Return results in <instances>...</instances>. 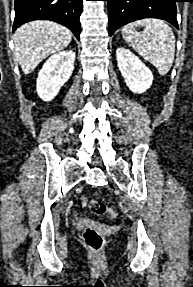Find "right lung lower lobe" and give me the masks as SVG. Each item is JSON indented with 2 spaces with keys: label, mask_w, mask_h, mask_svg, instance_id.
<instances>
[{
  "label": "right lung lower lobe",
  "mask_w": 193,
  "mask_h": 287,
  "mask_svg": "<svg viewBox=\"0 0 193 287\" xmlns=\"http://www.w3.org/2000/svg\"><path fill=\"white\" fill-rule=\"evenodd\" d=\"M83 0H15L13 32L33 20H50L68 27L79 40Z\"/></svg>",
  "instance_id": "right-lung-lower-lobe-1"
}]
</instances>
